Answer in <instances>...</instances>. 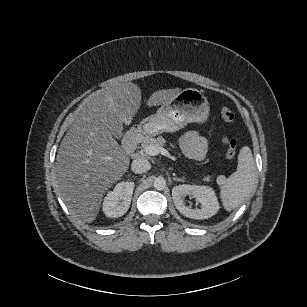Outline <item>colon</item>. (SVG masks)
I'll list each match as a JSON object with an SVG mask.
<instances>
[{
	"label": "colon",
	"instance_id": "colon-1",
	"mask_svg": "<svg viewBox=\"0 0 307 307\" xmlns=\"http://www.w3.org/2000/svg\"><path fill=\"white\" fill-rule=\"evenodd\" d=\"M220 117L222 121L229 123L234 119L233 112L227 108L223 107L220 111ZM237 141L235 139H231L229 141V148L227 149L225 156L229 159L233 158L236 155Z\"/></svg>",
	"mask_w": 307,
	"mask_h": 307
}]
</instances>
